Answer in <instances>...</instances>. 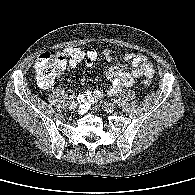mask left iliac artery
Segmentation results:
<instances>
[{
    "mask_svg": "<svg viewBox=\"0 0 195 195\" xmlns=\"http://www.w3.org/2000/svg\"><path fill=\"white\" fill-rule=\"evenodd\" d=\"M112 102H113V103H117V100H116V99H114V100H112Z\"/></svg>",
    "mask_w": 195,
    "mask_h": 195,
    "instance_id": "left-iliac-artery-1",
    "label": "left iliac artery"
}]
</instances>
